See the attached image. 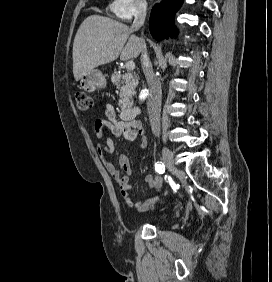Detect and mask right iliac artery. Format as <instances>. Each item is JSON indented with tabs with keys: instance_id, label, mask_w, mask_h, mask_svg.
<instances>
[{
	"instance_id": "right-iliac-artery-1",
	"label": "right iliac artery",
	"mask_w": 272,
	"mask_h": 282,
	"mask_svg": "<svg viewBox=\"0 0 272 282\" xmlns=\"http://www.w3.org/2000/svg\"><path fill=\"white\" fill-rule=\"evenodd\" d=\"M155 170L157 173L162 174L165 172V166L163 163L158 162L155 164Z\"/></svg>"
}]
</instances>
